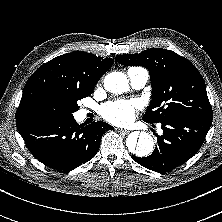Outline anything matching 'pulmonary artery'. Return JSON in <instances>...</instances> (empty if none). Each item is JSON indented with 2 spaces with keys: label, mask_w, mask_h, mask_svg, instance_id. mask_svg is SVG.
I'll list each match as a JSON object with an SVG mask.
<instances>
[{
  "label": "pulmonary artery",
  "mask_w": 222,
  "mask_h": 222,
  "mask_svg": "<svg viewBox=\"0 0 222 222\" xmlns=\"http://www.w3.org/2000/svg\"><path fill=\"white\" fill-rule=\"evenodd\" d=\"M127 75L132 86L137 89L144 87L149 78L148 71L143 68H129Z\"/></svg>",
  "instance_id": "e3ab8cb5"
}]
</instances>
